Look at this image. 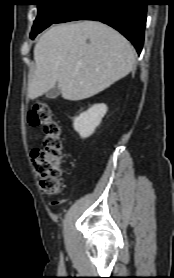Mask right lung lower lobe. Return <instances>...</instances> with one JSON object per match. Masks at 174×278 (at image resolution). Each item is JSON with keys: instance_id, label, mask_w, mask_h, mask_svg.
Wrapping results in <instances>:
<instances>
[{"instance_id": "98d812e1", "label": "right lung lower lobe", "mask_w": 174, "mask_h": 278, "mask_svg": "<svg viewBox=\"0 0 174 278\" xmlns=\"http://www.w3.org/2000/svg\"><path fill=\"white\" fill-rule=\"evenodd\" d=\"M146 13L145 0H74L54 23L74 20L101 21L122 33L140 54Z\"/></svg>"}]
</instances>
